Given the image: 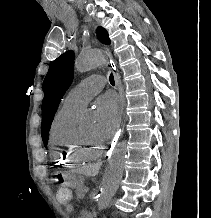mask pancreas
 Returning <instances> with one entry per match:
<instances>
[{"label":"pancreas","mask_w":211,"mask_h":218,"mask_svg":"<svg viewBox=\"0 0 211 218\" xmlns=\"http://www.w3.org/2000/svg\"><path fill=\"white\" fill-rule=\"evenodd\" d=\"M83 187H85V186H78V188L76 190V194H77L78 198H84V194L86 192H83Z\"/></svg>","instance_id":"cf45deb5"}]
</instances>
